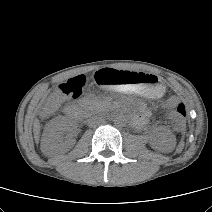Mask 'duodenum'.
I'll use <instances>...</instances> for the list:
<instances>
[{
  "label": "duodenum",
  "mask_w": 212,
  "mask_h": 212,
  "mask_svg": "<svg viewBox=\"0 0 212 212\" xmlns=\"http://www.w3.org/2000/svg\"><path fill=\"white\" fill-rule=\"evenodd\" d=\"M67 115L70 117V118H73V119H79L80 118V112L77 108H71L67 111ZM144 120V116L142 115H139L137 117H135L134 121L137 123V124H140L142 123Z\"/></svg>",
  "instance_id": "duodenum-1"
}]
</instances>
